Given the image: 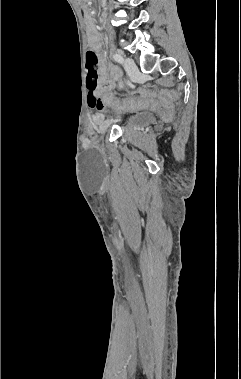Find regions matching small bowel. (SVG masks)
Returning <instances> with one entry per match:
<instances>
[{"label":"small bowel","mask_w":241,"mask_h":379,"mask_svg":"<svg viewBox=\"0 0 241 379\" xmlns=\"http://www.w3.org/2000/svg\"><path fill=\"white\" fill-rule=\"evenodd\" d=\"M90 41L95 49H97L100 45L99 37L92 33L90 36ZM99 71L101 74V89H99L98 83H89L87 86V100L86 105L88 110H100V113H103V109L106 108V101H101V94L105 89L108 87H113V82L109 79L108 71L104 64L99 65ZM113 117H120L121 111L120 110H113L112 111ZM95 119H99L100 116L96 115L94 116Z\"/></svg>","instance_id":"obj_1"}]
</instances>
